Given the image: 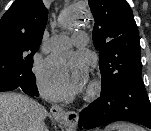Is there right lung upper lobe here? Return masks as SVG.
Returning <instances> with one entry per match:
<instances>
[{
    "label": "right lung upper lobe",
    "mask_w": 151,
    "mask_h": 131,
    "mask_svg": "<svg viewBox=\"0 0 151 131\" xmlns=\"http://www.w3.org/2000/svg\"><path fill=\"white\" fill-rule=\"evenodd\" d=\"M48 11L42 0H16L0 20V53L34 54L41 43Z\"/></svg>",
    "instance_id": "cb5924a9"
}]
</instances>
